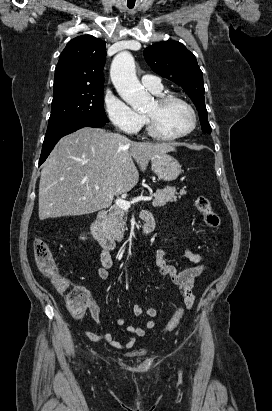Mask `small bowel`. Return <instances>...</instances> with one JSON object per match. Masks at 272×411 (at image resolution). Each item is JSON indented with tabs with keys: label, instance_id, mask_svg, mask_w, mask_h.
<instances>
[{
	"label": "small bowel",
	"instance_id": "1",
	"mask_svg": "<svg viewBox=\"0 0 272 411\" xmlns=\"http://www.w3.org/2000/svg\"><path fill=\"white\" fill-rule=\"evenodd\" d=\"M150 214L146 211L141 213V217L145 220ZM184 255L196 266L188 267L185 269H178L177 267L169 264L165 258V252L163 250H157L155 253V265L159 273L168 278L179 290V293L183 300L187 298L191 299V308L194 305L195 297L193 294V287L196 279L204 272L206 269L204 265H201L203 261V255L195 253L190 249H186ZM101 267L97 269L98 276L107 280L109 278V270L113 267V259L109 251L102 250L100 255ZM88 309L93 321L100 325V310L97 304L90 299ZM133 312L136 316H147L149 319L139 326L129 325L126 327L128 333L133 335L126 341H117L114 339L111 333L98 334L92 331H84V335L87 339L92 342H105L120 350H131L136 345V337H143L147 331L154 329L157 326L154 318L158 314V310L155 307L143 308L140 305H134ZM115 323L118 326L125 325L124 318H116Z\"/></svg>",
	"mask_w": 272,
	"mask_h": 411
}]
</instances>
